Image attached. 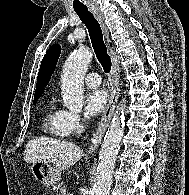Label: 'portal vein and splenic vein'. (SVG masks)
I'll return each instance as SVG.
<instances>
[{"instance_id": "1", "label": "portal vein and splenic vein", "mask_w": 189, "mask_h": 195, "mask_svg": "<svg viewBox=\"0 0 189 195\" xmlns=\"http://www.w3.org/2000/svg\"><path fill=\"white\" fill-rule=\"evenodd\" d=\"M67 195H73L72 193H69V194H67Z\"/></svg>"}]
</instances>
